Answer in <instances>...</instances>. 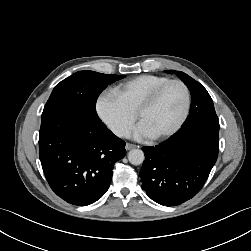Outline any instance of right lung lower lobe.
Masks as SVG:
<instances>
[{"label":"right lung lower lobe","mask_w":251,"mask_h":251,"mask_svg":"<svg viewBox=\"0 0 251 251\" xmlns=\"http://www.w3.org/2000/svg\"><path fill=\"white\" fill-rule=\"evenodd\" d=\"M97 113L62 107L42 113L39 157L51 189L73 205L86 206L108 190L114 163L126 154Z\"/></svg>","instance_id":"obj_1"}]
</instances>
